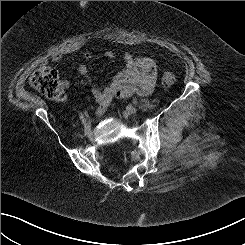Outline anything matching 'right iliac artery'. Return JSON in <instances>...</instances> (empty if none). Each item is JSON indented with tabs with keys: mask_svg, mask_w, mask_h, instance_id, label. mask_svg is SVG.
I'll use <instances>...</instances> for the list:
<instances>
[{
	"mask_svg": "<svg viewBox=\"0 0 245 245\" xmlns=\"http://www.w3.org/2000/svg\"><path fill=\"white\" fill-rule=\"evenodd\" d=\"M86 111H84V112H81L80 114H79V118L80 119H83L84 118V116L86 115Z\"/></svg>",
	"mask_w": 245,
	"mask_h": 245,
	"instance_id": "right-iliac-artery-1",
	"label": "right iliac artery"
}]
</instances>
